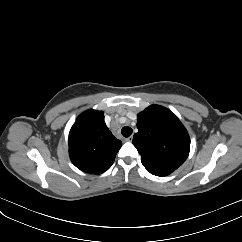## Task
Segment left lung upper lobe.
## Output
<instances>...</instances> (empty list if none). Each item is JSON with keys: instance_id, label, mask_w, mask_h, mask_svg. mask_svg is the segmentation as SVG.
<instances>
[{"instance_id": "5c2ea615", "label": "left lung upper lobe", "mask_w": 242, "mask_h": 242, "mask_svg": "<svg viewBox=\"0 0 242 242\" xmlns=\"http://www.w3.org/2000/svg\"><path fill=\"white\" fill-rule=\"evenodd\" d=\"M138 132L133 145L151 174L166 176L187 159L190 138L177 116L160 105H151L137 115Z\"/></svg>"}]
</instances>
